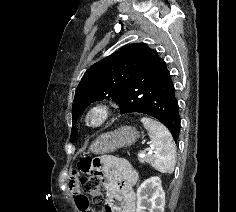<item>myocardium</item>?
<instances>
[{"label": "myocardium", "instance_id": "myocardium-1", "mask_svg": "<svg viewBox=\"0 0 236 212\" xmlns=\"http://www.w3.org/2000/svg\"><path fill=\"white\" fill-rule=\"evenodd\" d=\"M111 112L108 104L102 102L95 103L87 109L84 115V123L87 127L99 128L108 121Z\"/></svg>", "mask_w": 236, "mask_h": 212}]
</instances>
